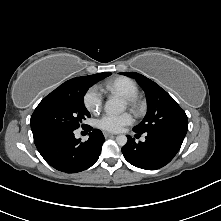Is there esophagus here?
<instances>
[{
	"label": "esophagus",
	"instance_id": "esophagus-1",
	"mask_svg": "<svg viewBox=\"0 0 221 221\" xmlns=\"http://www.w3.org/2000/svg\"><path fill=\"white\" fill-rule=\"evenodd\" d=\"M113 136H115V134L109 133V132H104V137L105 138H109V137H113Z\"/></svg>",
	"mask_w": 221,
	"mask_h": 221
}]
</instances>
